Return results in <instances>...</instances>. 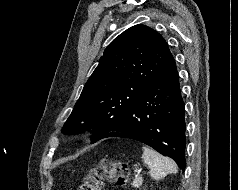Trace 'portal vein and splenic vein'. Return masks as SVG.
Listing matches in <instances>:
<instances>
[{"mask_svg":"<svg viewBox=\"0 0 238 190\" xmlns=\"http://www.w3.org/2000/svg\"><path fill=\"white\" fill-rule=\"evenodd\" d=\"M136 171H137V172H140V169H137Z\"/></svg>","mask_w":238,"mask_h":190,"instance_id":"1","label":"portal vein and splenic vein"}]
</instances>
